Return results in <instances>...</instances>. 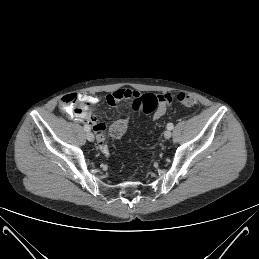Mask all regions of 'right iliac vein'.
I'll return each mask as SVG.
<instances>
[{
    "instance_id": "1",
    "label": "right iliac vein",
    "mask_w": 259,
    "mask_h": 259,
    "mask_svg": "<svg viewBox=\"0 0 259 259\" xmlns=\"http://www.w3.org/2000/svg\"><path fill=\"white\" fill-rule=\"evenodd\" d=\"M86 137H87V139H88L90 142L94 141V139H95L94 134H93L92 132H90V131H88V132L86 133Z\"/></svg>"
}]
</instances>
